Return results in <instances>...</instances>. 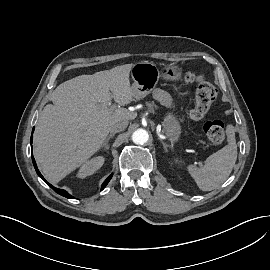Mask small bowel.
Wrapping results in <instances>:
<instances>
[{"instance_id":"c3829d8e","label":"small bowel","mask_w":270,"mask_h":270,"mask_svg":"<svg viewBox=\"0 0 270 270\" xmlns=\"http://www.w3.org/2000/svg\"><path fill=\"white\" fill-rule=\"evenodd\" d=\"M153 97L164 104H170L171 102L168 94L163 89H160V88H157L153 91Z\"/></svg>"}]
</instances>
